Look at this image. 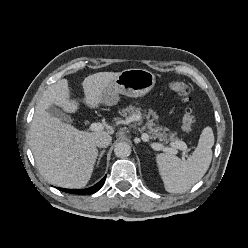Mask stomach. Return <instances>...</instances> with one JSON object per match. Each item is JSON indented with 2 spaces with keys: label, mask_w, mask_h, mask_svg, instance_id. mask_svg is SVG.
Listing matches in <instances>:
<instances>
[{
  "label": "stomach",
  "mask_w": 248,
  "mask_h": 248,
  "mask_svg": "<svg viewBox=\"0 0 248 248\" xmlns=\"http://www.w3.org/2000/svg\"><path fill=\"white\" fill-rule=\"evenodd\" d=\"M156 83L155 75L146 69H126L109 83L101 95V103L113 106L119 101V94L141 97L150 92Z\"/></svg>",
  "instance_id": "0dacf381"
}]
</instances>
